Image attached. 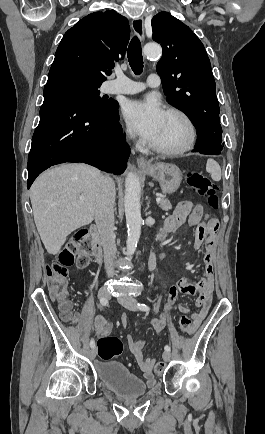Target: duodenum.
Instances as JSON below:
<instances>
[{"mask_svg":"<svg viewBox=\"0 0 265 434\" xmlns=\"http://www.w3.org/2000/svg\"><path fill=\"white\" fill-rule=\"evenodd\" d=\"M89 230H90V238L93 244L94 257L98 261H100L103 256V248L100 242L99 229L96 226H91ZM157 261H158V253L157 251H154L148 256L147 259V264L150 272L153 271L154 267L157 264Z\"/></svg>","mask_w":265,"mask_h":434,"instance_id":"410a0bca","label":"duodenum"}]
</instances>
